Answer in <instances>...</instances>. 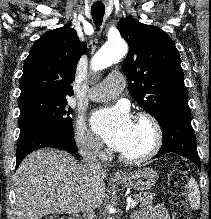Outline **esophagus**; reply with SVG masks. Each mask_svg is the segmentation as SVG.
<instances>
[{
  "label": "esophagus",
  "instance_id": "esophagus-1",
  "mask_svg": "<svg viewBox=\"0 0 211 219\" xmlns=\"http://www.w3.org/2000/svg\"><path fill=\"white\" fill-rule=\"evenodd\" d=\"M114 176H115V177H121V176H122V173L117 170V171L114 172Z\"/></svg>",
  "mask_w": 211,
  "mask_h": 219
}]
</instances>
